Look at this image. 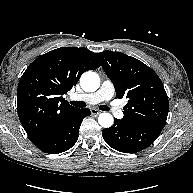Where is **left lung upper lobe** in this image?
<instances>
[{
    "instance_id": "1",
    "label": "left lung upper lobe",
    "mask_w": 193,
    "mask_h": 193,
    "mask_svg": "<svg viewBox=\"0 0 193 193\" xmlns=\"http://www.w3.org/2000/svg\"><path fill=\"white\" fill-rule=\"evenodd\" d=\"M96 55L114 84L116 96L128 99L121 119L123 123H166L168 97L160 78L150 67L121 52L106 50Z\"/></svg>"
}]
</instances>
